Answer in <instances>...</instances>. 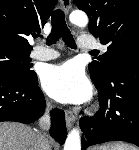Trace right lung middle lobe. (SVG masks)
Wrapping results in <instances>:
<instances>
[{
    "label": "right lung middle lobe",
    "instance_id": "obj_1",
    "mask_svg": "<svg viewBox=\"0 0 139 150\" xmlns=\"http://www.w3.org/2000/svg\"><path fill=\"white\" fill-rule=\"evenodd\" d=\"M30 52L0 46V74H8L23 80L35 79L36 73L31 70Z\"/></svg>",
    "mask_w": 139,
    "mask_h": 150
}]
</instances>
